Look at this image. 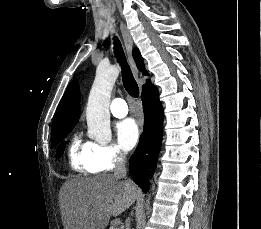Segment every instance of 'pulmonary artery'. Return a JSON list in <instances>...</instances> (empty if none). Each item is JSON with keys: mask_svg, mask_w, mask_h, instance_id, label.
Returning a JSON list of instances; mask_svg holds the SVG:
<instances>
[{"mask_svg": "<svg viewBox=\"0 0 261 229\" xmlns=\"http://www.w3.org/2000/svg\"><path fill=\"white\" fill-rule=\"evenodd\" d=\"M111 113L117 118H123L128 114V108L123 99H115L111 103Z\"/></svg>", "mask_w": 261, "mask_h": 229, "instance_id": "1", "label": "pulmonary artery"}]
</instances>
